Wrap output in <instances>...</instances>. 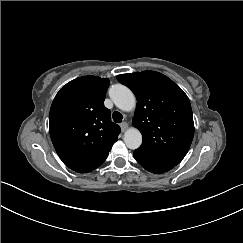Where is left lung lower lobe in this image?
I'll return each instance as SVG.
<instances>
[{
    "instance_id": "obj_1",
    "label": "left lung lower lobe",
    "mask_w": 243,
    "mask_h": 243,
    "mask_svg": "<svg viewBox=\"0 0 243 243\" xmlns=\"http://www.w3.org/2000/svg\"><path fill=\"white\" fill-rule=\"evenodd\" d=\"M133 155H134V158L137 160V162L139 164H141L142 167H144L146 170H148L152 173L161 174V173L171 170L174 167V166L156 163V162L152 161L150 158H148L140 153H137L135 151H134Z\"/></svg>"
}]
</instances>
